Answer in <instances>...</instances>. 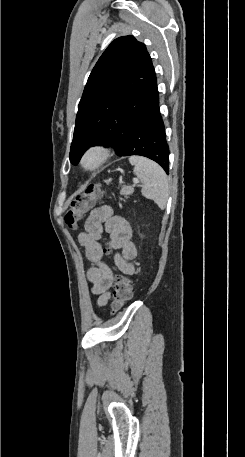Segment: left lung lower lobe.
Returning <instances> with one entry per match:
<instances>
[{
  "instance_id": "1",
  "label": "left lung lower lobe",
  "mask_w": 245,
  "mask_h": 457,
  "mask_svg": "<svg viewBox=\"0 0 245 457\" xmlns=\"http://www.w3.org/2000/svg\"><path fill=\"white\" fill-rule=\"evenodd\" d=\"M105 130L98 131L84 144L78 161L90 146H113L118 156H144L169 173V147L159 109L157 81L143 106L122 114L112 128Z\"/></svg>"
}]
</instances>
